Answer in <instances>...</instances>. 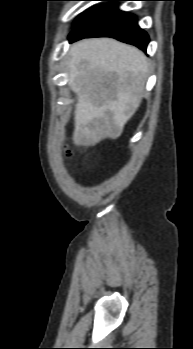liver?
<instances>
[{
    "mask_svg": "<svg viewBox=\"0 0 193 349\" xmlns=\"http://www.w3.org/2000/svg\"><path fill=\"white\" fill-rule=\"evenodd\" d=\"M69 55V86L78 98L74 144L89 147L118 138L140 105L148 73L146 57L136 47L110 38L78 41Z\"/></svg>",
    "mask_w": 193,
    "mask_h": 349,
    "instance_id": "obj_1",
    "label": "liver"
}]
</instances>
